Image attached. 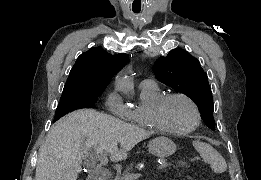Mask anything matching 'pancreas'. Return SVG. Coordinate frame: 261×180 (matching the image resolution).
<instances>
[{
    "mask_svg": "<svg viewBox=\"0 0 261 180\" xmlns=\"http://www.w3.org/2000/svg\"><path fill=\"white\" fill-rule=\"evenodd\" d=\"M190 166L188 159H176L174 160V164L172 165V170H187ZM135 167V162H130V165L127 166L126 170L120 173H115V177L112 180H124V176H129L131 174V170Z\"/></svg>",
    "mask_w": 261,
    "mask_h": 180,
    "instance_id": "pancreas-1",
    "label": "pancreas"
}]
</instances>
